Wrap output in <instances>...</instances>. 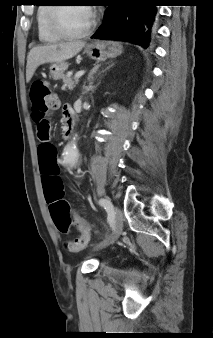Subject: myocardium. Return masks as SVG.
Returning a JSON list of instances; mask_svg holds the SVG:
<instances>
[{"label": "myocardium", "mask_w": 213, "mask_h": 338, "mask_svg": "<svg viewBox=\"0 0 213 338\" xmlns=\"http://www.w3.org/2000/svg\"><path fill=\"white\" fill-rule=\"evenodd\" d=\"M56 7H51L48 17V29L49 31L59 39H79L87 36L90 34L95 26H96V19L93 16L91 19L90 24L82 31L77 33H70L63 30L60 26L59 19H58V12L61 8L69 7L70 5H53Z\"/></svg>", "instance_id": "f54148a6"}]
</instances>
